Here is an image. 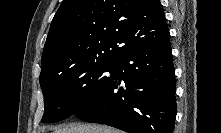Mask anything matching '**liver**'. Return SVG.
I'll list each match as a JSON object with an SVG mask.
<instances>
[{
    "label": "liver",
    "instance_id": "liver-1",
    "mask_svg": "<svg viewBox=\"0 0 221 133\" xmlns=\"http://www.w3.org/2000/svg\"><path fill=\"white\" fill-rule=\"evenodd\" d=\"M53 133H120V131L103 125L70 123L56 128Z\"/></svg>",
    "mask_w": 221,
    "mask_h": 133
}]
</instances>
